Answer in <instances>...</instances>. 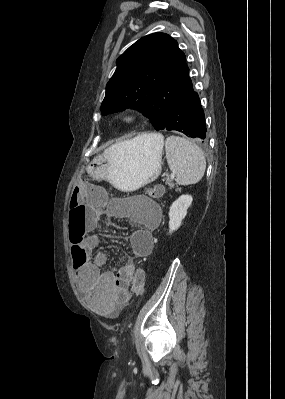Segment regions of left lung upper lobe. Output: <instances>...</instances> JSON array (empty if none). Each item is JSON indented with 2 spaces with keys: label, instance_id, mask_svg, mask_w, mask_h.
I'll use <instances>...</instances> for the list:
<instances>
[{
  "label": "left lung upper lobe",
  "instance_id": "left-lung-upper-lobe-1",
  "mask_svg": "<svg viewBox=\"0 0 285 399\" xmlns=\"http://www.w3.org/2000/svg\"><path fill=\"white\" fill-rule=\"evenodd\" d=\"M106 86L101 113L136 108L156 130H162L174 99L190 81L178 43L165 33L140 38L116 61Z\"/></svg>",
  "mask_w": 285,
  "mask_h": 399
}]
</instances>
